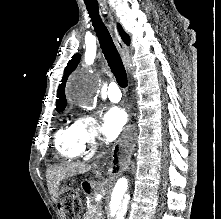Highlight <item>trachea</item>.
<instances>
[{"instance_id":"1","label":"trachea","mask_w":221,"mask_h":219,"mask_svg":"<svg viewBox=\"0 0 221 219\" xmlns=\"http://www.w3.org/2000/svg\"><path fill=\"white\" fill-rule=\"evenodd\" d=\"M89 16L93 23L94 30L98 37L100 47L108 62V65L114 74L120 87H127V73L123 65L120 54L110 36L106 26L102 22L99 15V7L97 2L85 3Z\"/></svg>"}]
</instances>
